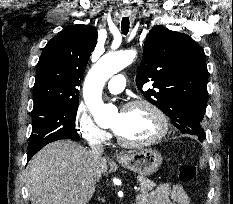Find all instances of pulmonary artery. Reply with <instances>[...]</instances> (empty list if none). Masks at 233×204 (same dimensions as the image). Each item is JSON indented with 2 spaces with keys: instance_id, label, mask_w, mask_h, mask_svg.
Instances as JSON below:
<instances>
[{
  "instance_id": "1",
  "label": "pulmonary artery",
  "mask_w": 233,
  "mask_h": 204,
  "mask_svg": "<svg viewBox=\"0 0 233 204\" xmlns=\"http://www.w3.org/2000/svg\"><path fill=\"white\" fill-rule=\"evenodd\" d=\"M125 84H126L125 76L122 74H117L109 80L107 84V89L112 94H118L124 90Z\"/></svg>"
}]
</instances>
